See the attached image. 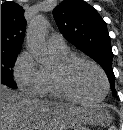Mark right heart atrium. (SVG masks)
<instances>
[{
  "instance_id": "obj_1",
  "label": "right heart atrium",
  "mask_w": 123,
  "mask_h": 130,
  "mask_svg": "<svg viewBox=\"0 0 123 130\" xmlns=\"http://www.w3.org/2000/svg\"><path fill=\"white\" fill-rule=\"evenodd\" d=\"M15 81L24 93L41 96L44 86V71L33 54L25 50L18 56L14 66Z\"/></svg>"
}]
</instances>
